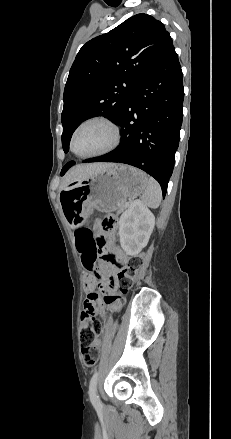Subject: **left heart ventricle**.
I'll use <instances>...</instances> for the list:
<instances>
[{
    "label": "left heart ventricle",
    "instance_id": "b2bd125f",
    "mask_svg": "<svg viewBox=\"0 0 231 439\" xmlns=\"http://www.w3.org/2000/svg\"><path fill=\"white\" fill-rule=\"evenodd\" d=\"M112 140V132L108 126L99 122L84 125L76 133L74 150L78 154H90L107 147Z\"/></svg>",
    "mask_w": 231,
    "mask_h": 439
}]
</instances>
